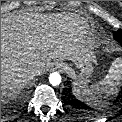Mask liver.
Listing matches in <instances>:
<instances>
[{"mask_svg":"<svg viewBox=\"0 0 122 122\" xmlns=\"http://www.w3.org/2000/svg\"><path fill=\"white\" fill-rule=\"evenodd\" d=\"M90 28L76 14L10 13L1 17V101L14 98L53 59L81 63L92 49Z\"/></svg>","mask_w":122,"mask_h":122,"instance_id":"obj_1","label":"liver"}]
</instances>
